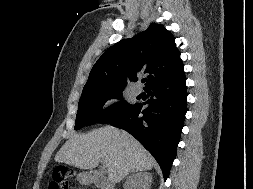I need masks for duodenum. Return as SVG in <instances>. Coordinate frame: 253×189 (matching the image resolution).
I'll list each match as a JSON object with an SVG mask.
<instances>
[{
	"label": "duodenum",
	"instance_id": "410a0bca",
	"mask_svg": "<svg viewBox=\"0 0 253 189\" xmlns=\"http://www.w3.org/2000/svg\"><path fill=\"white\" fill-rule=\"evenodd\" d=\"M84 184H94L101 189H110L111 184L108 179L98 171H89L82 176Z\"/></svg>",
	"mask_w": 253,
	"mask_h": 189
}]
</instances>
